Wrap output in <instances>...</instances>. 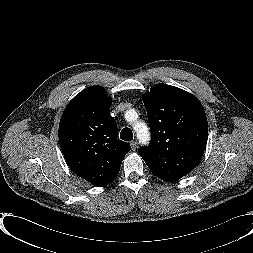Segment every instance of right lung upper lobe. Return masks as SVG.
<instances>
[{"label": "right lung upper lobe", "mask_w": 253, "mask_h": 253, "mask_svg": "<svg viewBox=\"0 0 253 253\" xmlns=\"http://www.w3.org/2000/svg\"><path fill=\"white\" fill-rule=\"evenodd\" d=\"M111 105L102 87H88L68 104L59 124V142L69 167L97 187L117 177L131 150L128 143L117 139Z\"/></svg>", "instance_id": "right-lung-upper-lobe-1"}]
</instances>
